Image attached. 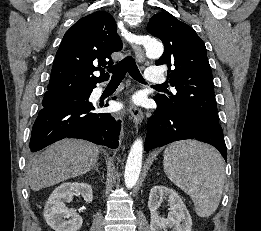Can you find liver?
<instances>
[{
	"label": "liver",
	"instance_id": "obj_1",
	"mask_svg": "<svg viewBox=\"0 0 261 231\" xmlns=\"http://www.w3.org/2000/svg\"><path fill=\"white\" fill-rule=\"evenodd\" d=\"M99 156L98 146L76 139H65L49 146L33 159L27 182L33 191L50 187L89 172Z\"/></svg>",
	"mask_w": 261,
	"mask_h": 231
}]
</instances>
